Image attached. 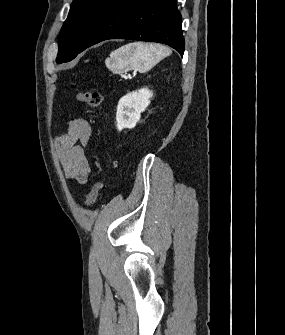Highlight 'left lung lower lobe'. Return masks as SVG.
<instances>
[{
    "instance_id": "left-lung-lower-lobe-1",
    "label": "left lung lower lobe",
    "mask_w": 285,
    "mask_h": 335,
    "mask_svg": "<svg viewBox=\"0 0 285 335\" xmlns=\"http://www.w3.org/2000/svg\"><path fill=\"white\" fill-rule=\"evenodd\" d=\"M177 0H110L84 36L79 53L107 39L164 43L183 56L185 42Z\"/></svg>"
}]
</instances>
